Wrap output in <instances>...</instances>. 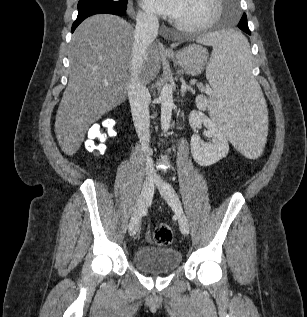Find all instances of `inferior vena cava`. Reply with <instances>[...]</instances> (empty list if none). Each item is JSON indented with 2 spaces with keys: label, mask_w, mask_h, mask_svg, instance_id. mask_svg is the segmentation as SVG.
Here are the masks:
<instances>
[{
  "label": "inferior vena cava",
  "mask_w": 307,
  "mask_h": 317,
  "mask_svg": "<svg viewBox=\"0 0 307 317\" xmlns=\"http://www.w3.org/2000/svg\"><path fill=\"white\" fill-rule=\"evenodd\" d=\"M159 22L155 15H139L136 19L134 30V44L131 53L130 81L127 94L131 106L132 118L139 140L141 150L146 156V174L152 176L155 173L153 160L149 150L150 139V93L140 80L141 68L147 56V49L158 34Z\"/></svg>",
  "instance_id": "602c4592"
}]
</instances>
